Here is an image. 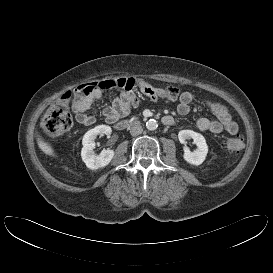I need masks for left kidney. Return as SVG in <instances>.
I'll use <instances>...</instances> for the list:
<instances>
[{
	"label": "left kidney",
	"instance_id": "obj_1",
	"mask_svg": "<svg viewBox=\"0 0 273 273\" xmlns=\"http://www.w3.org/2000/svg\"><path fill=\"white\" fill-rule=\"evenodd\" d=\"M178 139L182 144H185L187 139H193L197 146L194 151H190L187 147L184 148L183 158L185 161L192 165H200L204 162L208 153V146L202 134L192 130H181L178 133Z\"/></svg>",
	"mask_w": 273,
	"mask_h": 273
}]
</instances>
